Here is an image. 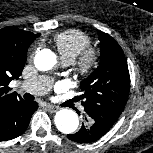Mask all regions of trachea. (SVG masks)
Masks as SVG:
<instances>
[{
    "label": "trachea",
    "instance_id": "3493384b",
    "mask_svg": "<svg viewBox=\"0 0 153 153\" xmlns=\"http://www.w3.org/2000/svg\"><path fill=\"white\" fill-rule=\"evenodd\" d=\"M23 97H24L25 100H28V101L34 99V97H33L31 94H29V93H25V94L23 95Z\"/></svg>",
    "mask_w": 153,
    "mask_h": 153
}]
</instances>
